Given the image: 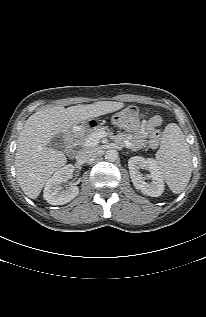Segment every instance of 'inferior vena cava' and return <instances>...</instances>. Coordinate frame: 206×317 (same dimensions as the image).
Returning a JSON list of instances; mask_svg holds the SVG:
<instances>
[{
	"label": "inferior vena cava",
	"mask_w": 206,
	"mask_h": 317,
	"mask_svg": "<svg viewBox=\"0 0 206 317\" xmlns=\"http://www.w3.org/2000/svg\"><path fill=\"white\" fill-rule=\"evenodd\" d=\"M95 153L93 150L84 149L77 153L76 159L79 163H87L93 159Z\"/></svg>",
	"instance_id": "inferior-vena-cava-1"
}]
</instances>
